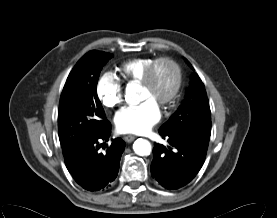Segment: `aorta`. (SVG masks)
Returning <instances> with one entry per match:
<instances>
[{"label": "aorta", "instance_id": "762f6f07", "mask_svg": "<svg viewBox=\"0 0 277 218\" xmlns=\"http://www.w3.org/2000/svg\"><path fill=\"white\" fill-rule=\"evenodd\" d=\"M125 99L130 104H137L140 101V96L136 93V90L129 89ZM133 150L139 156H148L151 153L152 146L148 140L139 138L134 142Z\"/></svg>", "mask_w": 277, "mask_h": 218}]
</instances>
